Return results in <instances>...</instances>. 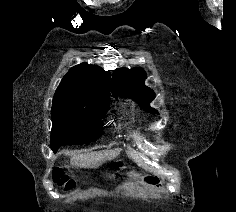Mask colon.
Returning <instances> with one entry per match:
<instances>
[{
	"instance_id": "colon-1",
	"label": "colon",
	"mask_w": 236,
	"mask_h": 212,
	"mask_svg": "<svg viewBox=\"0 0 236 212\" xmlns=\"http://www.w3.org/2000/svg\"><path fill=\"white\" fill-rule=\"evenodd\" d=\"M118 166H120V164H118ZM53 179L58 186L63 187L67 190L71 189L74 186V182L69 177L64 175V173L60 169H54Z\"/></svg>"
}]
</instances>
